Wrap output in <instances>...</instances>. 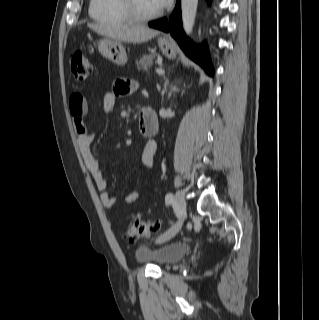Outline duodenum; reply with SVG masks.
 <instances>
[{
	"mask_svg": "<svg viewBox=\"0 0 319 320\" xmlns=\"http://www.w3.org/2000/svg\"><path fill=\"white\" fill-rule=\"evenodd\" d=\"M140 132L144 135H155L159 131L158 117L150 107L144 108L140 113L139 121Z\"/></svg>",
	"mask_w": 319,
	"mask_h": 320,
	"instance_id": "410a0bca",
	"label": "duodenum"
}]
</instances>
